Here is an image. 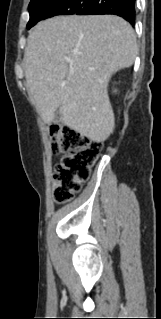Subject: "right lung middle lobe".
I'll return each mask as SVG.
<instances>
[{
	"instance_id": "right-lung-middle-lobe-1",
	"label": "right lung middle lobe",
	"mask_w": 161,
	"mask_h": 319,
	"mask_svg": "<svg viewBox=\"0 0 161 319\" xmlns=\"http://www.w3.org/2000/svg\"><path fill=\"white\" fill-rule=\"evenodd\" d=\"M89 0H31L27 29L37 22L56 15H72L80 11Z\"/></svg>"
}]
</instances>
